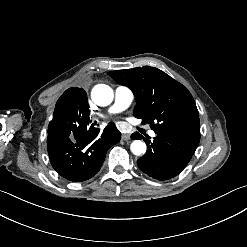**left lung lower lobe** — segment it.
<instances>
[{
	"instance_id": "0a47b994",
	"label": "left lung lower lobe",
	"mask_w": 247,
	"mask_h": 247,
	"mask_svg": "<svg viewBox=\"0 0 247 247\" xmlns=\"http://www.w3.org/2000/svg\"><path fill=\"white\" fill-rule=\"evenodd\" d=\"M133 139L142 136L135 132ZM147 144L146 154L138 159L137 165L142 172L157 180H167L177 176L191 160L197 146L171 135L157 134L151 143Z\"/></svg>"
}]
</instances>
